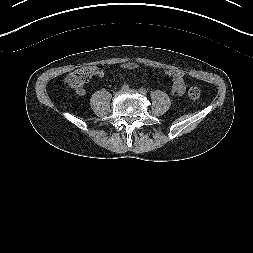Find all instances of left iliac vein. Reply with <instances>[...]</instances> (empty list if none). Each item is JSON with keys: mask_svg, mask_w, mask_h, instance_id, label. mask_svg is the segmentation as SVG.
Listing matches in <instances>:
<instances>
[{"mask_svg": "<svg viewBox=\"0 0 253 253\" xmlns=\"http://www.w3.org/2000/svg\"><path fill=\"white\" fill-rule=\"evenodd\" d=\"M126 92L130 93V94H137L138 93L137 90H135V89H127Z\"/></svg>", "mask_w": 253, "mask_h": 253, "instance_id": "4c4485c4", "label": "left iliac vein"}]
</instances>
